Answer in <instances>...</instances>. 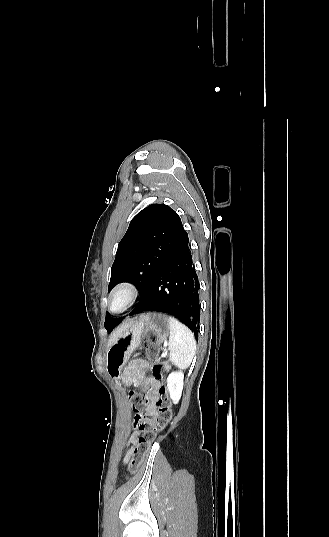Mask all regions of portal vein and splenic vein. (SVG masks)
Here are the masks:
<instances>
[{
	"instance_id": "1",
	"label": "portal vein and splenic vein",
	"mask_w": 329,
	"mask_h": 537,
	"mask_svg": "<svg viewBox=\"0 0 329 537\" xmlns=\"http://www.w3.org/2000/svg\"><path fill=\"white\" fill-rule=\"evenodd\" d=\"M167 345H168L167 343H164V349H165V350H166ZM164 355H165V354H163V356H164Z\"/></svg>"
}]
</instances>
